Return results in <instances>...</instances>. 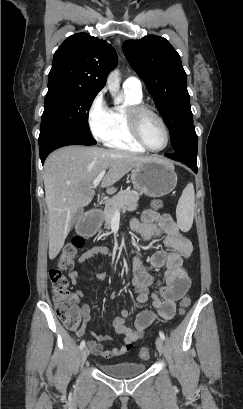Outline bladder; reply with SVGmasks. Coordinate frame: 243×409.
Returning a JSON list of instances; mask_svg holds the SVG:
<instances>
[{
	"instance_id": "31cf9c89",
	"label": "bladder",
	"mask_w": 243,
	"mask_h": 409,
	"mask_svg": "<svg viewBox=\"0 0 243 409\" xmlns=\"http://www.w3.org/2000/svg\"><path fill=\"white\" fill-rule=\"evenodd\" d=\"M101 372L109 377L127 379L141 375L146 370L145 364H139L130 360L115 363H100Z\"/></svg>"
}]
</instances>
